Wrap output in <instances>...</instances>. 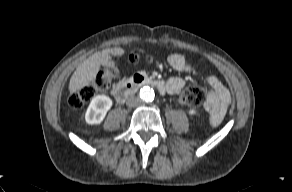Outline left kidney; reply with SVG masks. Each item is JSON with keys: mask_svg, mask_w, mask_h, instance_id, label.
Wrapping results in <instances>:
<instances>
[{"mask_svg": "<svg viewBox=\"0 0 292 192\" xmlns=\"http://www.w3.org/2000/svg\"><path fill=\"white\" fill-rule=\"evenodd\" d=\"M189 114L190 115H197L198 113H197L196 109L192 108L189 110Z\"/></svg>", "mask_w": 292, "mask_h": 192, "instance_id": "left-kidney-1", "label": "left kidney"}]
</instances>
